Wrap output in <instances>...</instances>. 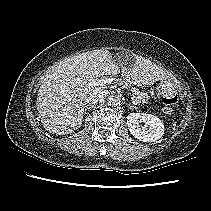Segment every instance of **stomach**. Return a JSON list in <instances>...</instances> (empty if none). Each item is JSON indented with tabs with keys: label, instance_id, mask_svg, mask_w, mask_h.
<instances>
[{
	"label": "stomach",
	"instance_id": "stomach-1",
	"mask_svg": "<svg viewBox=\"0 0 211 211\" xmlns=\"http://www.w3.org/2000/svg\"><path fill=\"white\" fill-rule=\"evenodd\" d=\"M127 59V56H121L118 58V61H125ZM135 63L133 64V68L135 67ZM133 85H137L139 86L138 83H132ZM140 86H144V84H140ZM159 90L162 92V93H167V92H170V91H173L175 90V87H174V82L172 79H166V80H162L160 81V84H159Z\"/></svg>",
	"mask_w": 211,
	"mask_h": 211
}]
</instances>
